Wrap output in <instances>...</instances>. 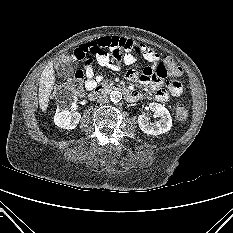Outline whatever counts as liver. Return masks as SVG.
Wrapping results in <instances>:
<instances>
[{
  "label": "liver",
  "instance_id": "obj_1",
  "mask_svg": "<svg viewBox=\"0 0 233 233\" xmlns=\"http://www.w3.org/2000/svg\"><path fill=\"white\" fill-rule=\"evenodd\" d=\"M55 82V74L53 69V63H48L45 69L42 72L40 78V86H39V105L41 111H46L48 108V102L50 94L53 90V85Z\"/></svg>",
  "mask_w": 233,
  "mask_h": 233
}]
</instances>
